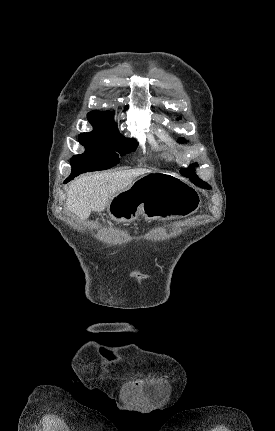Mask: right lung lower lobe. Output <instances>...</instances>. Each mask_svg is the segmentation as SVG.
<instances>
[{
    "mask_svg": "<svg viewBox=\"0 0 275 431\" xmlns=\"http://www.w3.org/2000/svg\"><path fill=\"white\" fill-rule=\"evenodd\" d=\"M77 176H78V175H77ZM74 177H75V176H69V178H67V179L65 180V183H67L68 181L72 180Z\"/></svg>",
    "mask_w": 275,
    "mask_h": 431,
    "instance_id": "98d812e1",
    "label": "right lung lower lobe"
}]
</instances>
